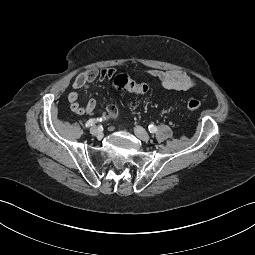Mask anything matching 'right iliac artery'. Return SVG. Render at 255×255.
<instances>
[{
    "instance_id": "right-iliac-artery-1",
    "label": "right iliac artery",
    "mask_w": 255,
    "mask_h": 255,
    "mask_svg": "<svg viewBox=\"0 0 255 255\" xmlns=\"http://www.w3.org/2000/svg\"><path fill=\"white\" fill-rule=\"evenodd\" d=\"M104 119H106V117H104ZM102 121V118H97V119H89L86 123V127L89 128L91 126H93L95 123L97 122H101Z\"/></svg>"
}]
</instances>
